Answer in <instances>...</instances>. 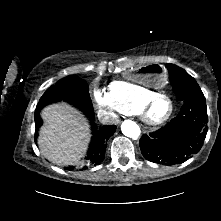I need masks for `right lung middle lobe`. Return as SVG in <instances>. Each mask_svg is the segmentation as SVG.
Returning <instances> with one entry per match:
<instances>
[{
  "mask_svg": "<svg viewBox=\"0 0 221 221\" xmlns=\"http://www.w3.org/2000/svg\"><path fill=\"white\" fill-rule=\"evenodd\" d=\"M65 100L82 110L91 105L88 84L79 77L69 76L59 80L55 86H50L40 98L36 112L49 103Z\"/></svg>",
  "mask_w": 221,
  "mask_h": 221,
  "instance_id": "right-lung-middle-lobe-1",
  "label": "right lung middle lobe"
}]
</instances>
